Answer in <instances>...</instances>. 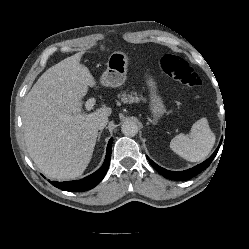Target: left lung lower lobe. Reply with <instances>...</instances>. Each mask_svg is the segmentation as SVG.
Returning <instances> with one entry per match:
<instances>
[{
    "instance_id": "left-lung-lower-lobe-1",
    "label": "left lung lower lobe",
    "mask_w": 249,
    "mask_h": 249,
    "mask_svg": "<svg viewBox=\"0 0 249 249\" xmlns=\"http://www.w3.org/2000/svg\"><path fill=\"white\" fill-rule=\"evenodd\" d=\"M222 142V140H221ZM221 142L218 146V148L215 150V152L203 163L190 168L188 170L185 171H180V172H174V171H169L166 170L160 166H158L156 163H154L150 158H148L149 162L152 164V166L160 173L162 174L164 177L168 178V179H172V180H189L192 177L196 176L197 174H199L201 171H203L204 169H206L212 162V160L214 159V157L216 156L219 147L221 145Z\"/></svg>"
}]
</instances>
